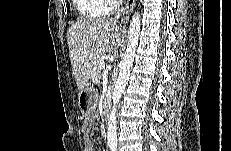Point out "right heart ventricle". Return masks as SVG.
Here are the masks:
<instances>
[{
    "instance_id": "right-heart-ventricle-1",
    "label": "right heart ventricle",
    "mask_w": 231,
    "mask_h": 151,
    "mask_svg": "<svg viewBox=\"0 0 231 151\" xmlns=\"http://www.w3.org/2000/svg\"><path fill=\"white\" fill-rule=\"evenodd\" d=\"M77 9L81 15V21H93L103 16L106 11V1L102 0H78Z\"/></svg>"
}]
</instances>
